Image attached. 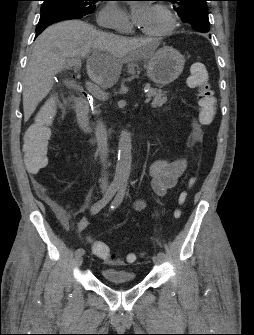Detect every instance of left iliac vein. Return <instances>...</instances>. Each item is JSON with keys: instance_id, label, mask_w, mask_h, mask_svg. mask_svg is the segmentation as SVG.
Masks as SVG:
<instances>
[{"instance_id": "1", "label": "left iliac vein", "mask_w": 254, "mask_h": 335, "mask_svg": "<svg viewBox=\"0 0 254 335\" xmlns=\"http://www.w3.org/2000/svg\"><path fill=\"white\" fill-rule=\"evenodd\" d=\"M152 261H153L154 264L159 265V264L162 263V258L159 257L158 255H154V256L152 257Z\"/></svg>"}]
</instances>
